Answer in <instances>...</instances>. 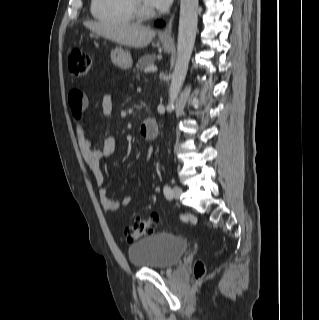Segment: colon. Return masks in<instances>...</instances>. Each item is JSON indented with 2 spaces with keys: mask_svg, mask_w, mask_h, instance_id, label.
<instances>
[{
  "mask_svg": "<svg viewBox=\"0 0 319 320\" xmlns=\"http://www.w3.org/2000/svg\"><path fill=\"white\" fill-rule=\"evenodd\" d=\"M92 65V56L89 52L72 49L69 58L68 66L71 73L77 77L86 76ZM159 216L153 213L147 219H135L133 223L127 227L126 235L128 240H135L138 237L146 234H151L158 228ZM195 275L201 277L205 273V266L202 262H197L195 265Z\"/></svg>",
  "mask_w": 319,
  "mask_h": 320,
  "instance_id": "colon-1",
  "label": "colon"
}]
</instances>
